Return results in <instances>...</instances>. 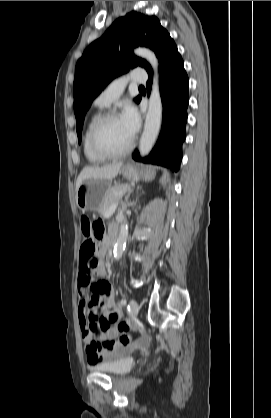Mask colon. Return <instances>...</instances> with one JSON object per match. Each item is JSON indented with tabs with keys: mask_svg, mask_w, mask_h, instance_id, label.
Wrapping results in <instances>:
<instances>
[{
	"mask_svg": "<svg viewBox=\"0 0 271 418\" xmlns=\"http://www.w3.org/2000/svg\"><path fill=\"white\" fill-rule=\"evenodd\" d=\"M81 229L83 238L89 239V241L95 242V253L97 251L98 245L103 239L104 228L101 222L92 221L90 218L83 216L80 219ZM121 332H126L129 329V324L127 322H122L118 326ZM93 333L98 334V329L93 328ZM120 342L128 344L130 342V337L128 335H122L120 337ZM98 344L94 343L93 347H97Z\"/></svg>",
	"mask_w": 271,
	"mask_h": 418,
	"instance_id": "colon-1",
	"label": "colon"
}]
</instances>
